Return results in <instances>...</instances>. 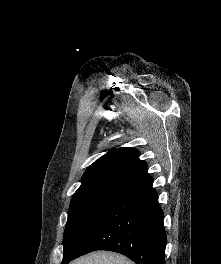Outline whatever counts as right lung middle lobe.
Masks as SVG:
<instances>
[{
    "label": "right lung middle lobe",
    "instance_id": "1",
    "mask_svg": "<svg viewBox=\"0 0 221 264\" xmlns=\"http://www.w3.org/2000/svg\"><path fill=\"white\" fill-rule=\"evenodd\" d=\"M125 189L99 187L73 195L64 231L63 260L80 250Z\"/></svg>",
    "mask_w": 221,
    "mask_h": 264
}]
</instances>
